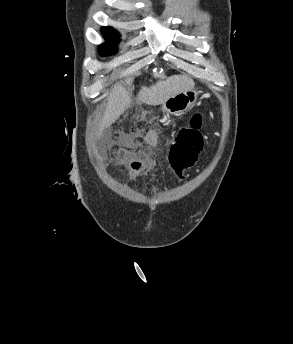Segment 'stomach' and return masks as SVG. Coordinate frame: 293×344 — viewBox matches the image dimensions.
<instances>
[{
  "instance_id": "1",
  "label": "stomach",
  "mask_w": 293,
  "mask_h": 344,
  "mask_svg": "<svg viewBox=\"0 0 293 344\" xmlns=\"http://www.w3.org/2000/svg\"><path fill=\"white\" fill-rule=\"evenodd\" d=\"M198 91L192 89L168 98L162 104V111L169 115H181L196 102Z\"/></svg>"
}]
</instances>
